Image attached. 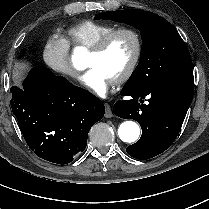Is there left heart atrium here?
I'll return each instance as SVG.
<instances>
[{
  "label": "left heart atrium",
  "instance_id": "1",
  "mask_svg": "<svg viewBox=\"0 0 209 209\" xmlns=\"http://www.w3.org/2000/svg\"><path fill=\"white\" fill-rule=\"evenodd\" d=\"M81 83L94 94L104 97L109 87L116 83V80L107 76L100 68L91 67L80 76Z\"/></svg>",
  "mask_w": 209,
  "mask_h": 209
}]
</instances>
